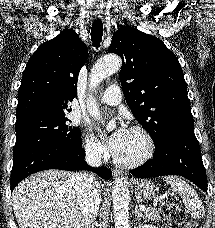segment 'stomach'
<instances>
[{
    "label": "stomach",
    "mask_w": 215,
    "mask_h": 228,
    "mask_svg": "<svg viewBox=\"0 0 215 228\" xmlns=\"http://www.w3.org/2000/svg\"><path fill=\"white\" fill-rule=\"evenodd\" d=\"M131 184L137 196L144 198V200H152L158 192V188L149 180H136V182H131Z\"/></svg>",
    "instance_id": "1"
}]
</instances>
